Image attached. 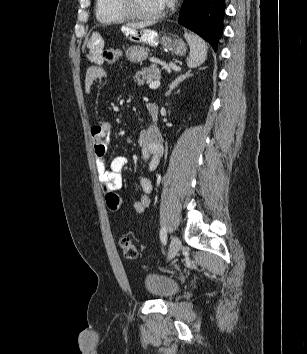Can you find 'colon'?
Masks as SVG:
<instances>
[{
    "label": "colon",
    "instance_id": "5ec220e1",
    "mask_svg": "<svg viewBox=\"0 0 307 354\" xmlns=\"http://www.w3.org/2000/svg\"><path fill=\"white\" fill-rule=\"evenodd\" d=\"M121 52L116 48H109L103 51V59L108 63H115L120 59ZM120 247L122 253L127 259H135L137 257V249L131 238L124 236L120 239Z\"/></svg>",
    "mask_w": 307,
    "mask_h": 354
}]
</instances>
